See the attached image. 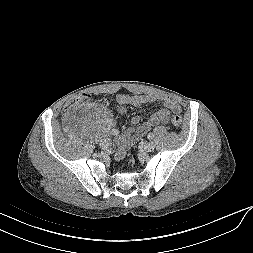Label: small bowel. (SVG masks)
Listing matches in <instances>:
<instances>
[{"instance_id": "small-bowel-1", "label": "small bowel", "mask_w": 253, "mask_h": 253, "mask_svg": "<svg viewBox=\"0 0 253 253\" xmlns=\"http://www.w3.org/2000/svg\"><path fill=\"white\" fill-rule=\"evenodd\" d=\"M119 104V112L124 113V106L131 105L134 107H141L145 104L160 102L164 106L153 113L148 121L135 128L134 126L140 122L139 116L135 115L131 118V124L133 126L128 127L124 130L123 134L116 139L118 150L115 153L116 160H122L127 150L133 145L135 140L140 139L147 131L152 127L165 124L168 122L170 112L179 113L181 111L180 103L171 97L159 96V95H126L120 94L117 97Z\"/></svg>"}]
</instances>
